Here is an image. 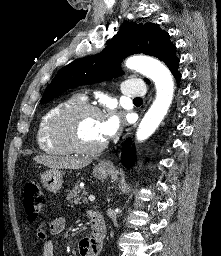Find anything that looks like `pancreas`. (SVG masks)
I'll return each mask as SVG.
<instances>
[{"label":"pancreas","mask_w":221,"mask_h":256,"mask_svg":"<svg viewBox=\"0 0 221 256\" xmlns=\"http://www.w3.org/2000/svg\"><path fill=\"white\" fill-rule=\"evenodd\" d=\"M87 192L85 190H80L78 186H75L71 192L67 195V200L72 204H81L87 201L86 199Z\"/></svg>","instance_id":"1"}]
</instances>
